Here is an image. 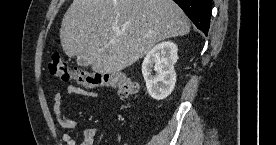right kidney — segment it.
<instances>
[{"mask_svg": "<svg viewBox=\"0 0 276 145\" xmlns=\"http://www.w3.org/2000/svg\"><path fill=\"white\" fill-rule=\"evenodd\" d=\"M178 47L171 41L154 46L144 58L142 74L149 95L155 100L167 98L174 90L176 73L174 64L178 60ZM156 72L151 74L152 68Z\"/></svg>", "mask_w": 276, "mask_h": 145, "instance_id": "1", "label": "right kidney"}]
</instances>
